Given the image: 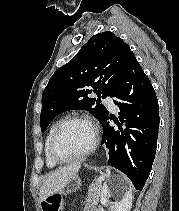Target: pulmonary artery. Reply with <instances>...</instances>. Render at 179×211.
Returning a JSON list of instances; mask_svg holds the SVG:
<instances>
[{
  "mask_svg": "<svg viewBox=\"0 0 179 211\" xmlns=\"http://www.w3.org/2000/svg\"><path fill=\"white\" fill-rule=\"evenodd\" d=\"M104 101H105L106 105L109 107V109H111L113 111L116 110V106H115V103H114V100L112 97L107 96Z\"/></svg>",
  "mask_w": 179,
  "mask_h": 211,
  "instance_id": "pulmonary-artery-1",
  "label": "pulmonary artery"
}]
</instances>
